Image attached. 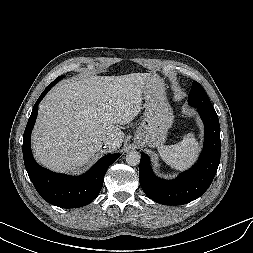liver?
Here are the masks:
<instances>
[{
	"label": "liver",
	"instance_id": "obj_1",
	"mask_svg": "<svg viewBox=\"0 0 253 253\" xmlns=\"http://www.w3.org/2000/svg\"><path fill=\"white\" fill-rule=\"evenodd\" d=\"M160 80L156 74L82 76L60 82L39 105L32 133L36 160L57 172H79L102 148L103 137L119 149L124 133L118 127L140 112L143 88Z\"/></svg>",
	"mask_w": 253,
	"mask_h": 253
}]
</instances>
